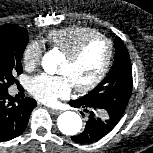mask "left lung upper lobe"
Here are the masks:
<instances>
[{"label": "left lung upper lobe", "mask_w": 153, "mask_h": 153, "mask_svg": "<svg viewBox=\"0 0 153 153\" xmlns=\"http://www.w3.org/2000/svg\"><path fill=\"white\" fill-rule=\"evenodd\" d=\"M114 64L103 81L80 98L85 103L98 104L106 115L117 121L122 117L132 91V67L126 46L115 42Z\"/></svg>", "instance_id": "obj_1"}]
</instances>
